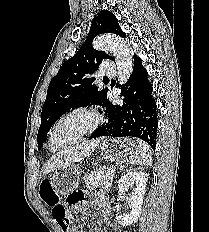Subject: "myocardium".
I'll return each mask as SVG.
<instances>
[{"label": "myocardium", "instance_id": "myocardium-1", "mask_svg": "<svg viewBox=\"0 0 209 232\" xmlns=\"http://www.w3.org/2000/svg\"><path fill=\"white\" fill-rule=\"evenodd\" d=\"M76 114L85 115L89 119L88 124L78 132L63 134L61 132V125L68 118ZM101 121H102L101 116L92 109H89L86 107H76V108L70 109L69 111L61 115L56 120V122L53 124L50 130V133H49L48 148L54 151V148L51 146V144L56 138H59V137L64 139L66 142H68V141H73V140L82 138L88 134H91L99 127Z\"/></svg>", "mask_w": 209, "mask_h": 232}]
</instances>
